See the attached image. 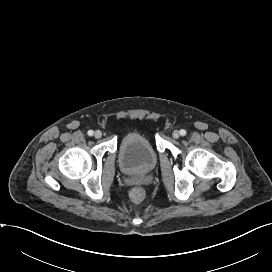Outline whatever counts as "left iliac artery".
<instances>
[{
  "instance_id": "left-iliac-artery-1",
  "label": "left iliac artery",
  "mask_w": 272,
  "mask_h": 272,
  "mask_svg": "<svg viewBox=\"0 0 272 272\" xmlns=\"http://www.w3.org/2000/svg\"><path fill=\"white\" fill-rule=\"evenodd\" d=\"M180 135L185 136V135H186V130L181 129V130H180Z\"/></svg>"
}]
</instances>
